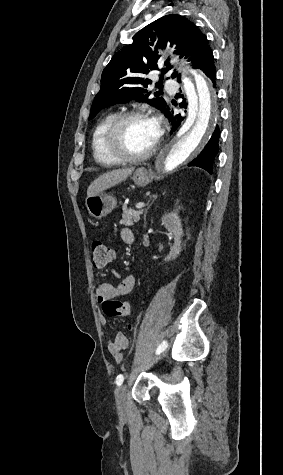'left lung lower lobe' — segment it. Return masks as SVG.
Wrapping results in <instances>:
<instances>
[{
  "label": "left lung lower lobe",
  "instance_id": "1",
  "mask_svg": "<svg viewBox=\"0 0 283 475\" xmlns=\"http://www.w3.org/2000/svg\"><path fill=\"white\" fill-rule=\"evenodd\" d=\"M213 61H214V58L212 54L198 68L204 71L206 76L209 77L211 81L213 82V87H215L216 70H215ZM177 81L180 82L181 81L180 78H178ZM180 107H184V106H180ZM164 113H165V116H167L169 118V121L171 122V125H172L171 132L175 131L179 127L181 121L184 118L181 117V115H174L173 111L170 110L169 106L166 107V109L164 110ZM219 135H220V132L217 126L214 133L212 134V137L207 143V145L204 147L202 152L193 161L189 163V166H198L207 170L209 173H212V163L219 150V147H218Z\"/></svg>",
  "mask_w": 283,
  "mask_h": 475
}]
</instances>
